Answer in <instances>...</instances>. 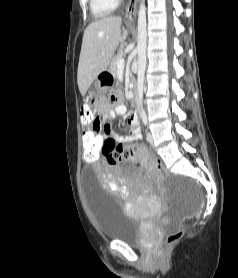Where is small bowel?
Instances as JSON below:
<instances>
[{"instance_id": "small-bowel-1", "label": "small bowel", "mask_w": 238, "mask_h": 278, "mask_svg": "<svg viewBox=\"0 0 238 278\" xmlns=\"http://www.w3.org/2000/svg\"><path fill=\"white\" fill-rule=\"evenodd\" d=\"M108 105H102L101 113L98 118L91 124L90 129L88 131H94V136H84V137H103L104 141L107 143L113 142L116 144H122L125 142L137 141L141 139V132L139 128V118L138 115L134 112L128 119L125 124V128L129 131V135L121 136L114 133L110 126L109 122L117 117H120L126 113V107L124 104H118L114 107H110L109 105H115V100H108ZM103 132V133H102ZM83 137V138H84ZM84 142V141H83ZM84 146V145H83ZM104 146H102L103 149ZM85 151V149H84ZM103 156H105V154ZM141 166L151 167L146 159L141 157L134 158Z\"/></svg>"}]
</instances>
